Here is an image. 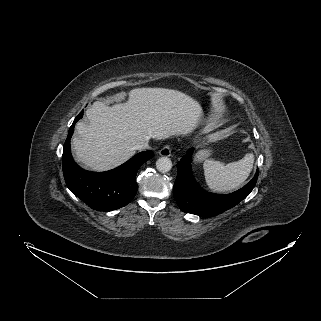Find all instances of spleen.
<instances>
[{
	"mask_svg": "<svg viewBox=\"0 0 321 321\" xmlns=\"http://www.w3.org/2000/svg\"><path fill=\"white\" fill-rule=\"evenodd\" d=\"M254 163V155L246 154L237 162L224 164L208 159L203 164L205 180L211 190L226 192L238 188L248 178Z\"/></svg>",
	"mask_w": 321,
	"mask_h": 321,
	"instance_id": "spleen-1",
	"label": "spleen"
}]
</instances>
